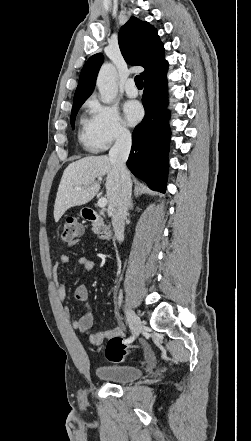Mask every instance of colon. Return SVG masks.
<instances>
[{
    "instance_id": "colon-1",
    "label": "colon",
    "mask_w": 251,
    "mask_h": 441,
    "mask_svg": "<svg viewBox=\"0 0 251 441\" xmlns=\"http://www.w3.org/2000/svg\"><path fill=\"white\" fill-rule=\"evenodd\" d=\"M81 233V224L74 218H68L59 228V239L62 242H70L79 237ZM128 349L121 337H112L104 348V354L110 362L120 363L125 360Z\"/></svg>"
}]
</instances>
